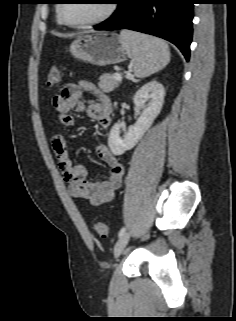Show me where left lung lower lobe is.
<instances>
[{"label": "left lung lower lobe", "instance_id": "left-lung-lower-lobe-1", "mask_svg": "<svg viewBox=\"0 0 236 321\" xmlns=\"http://www.w3.org/2000/svg\"><path fill=\"white\" fill-rule=\"evenodd\" d=\"M114 14L97 30L130 29L166 39L176 45L186 61L190 57L195 0H116Z\"/></svg>", "mask_w": 236, "mask_h": 321}]
</instances>
